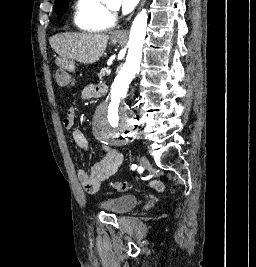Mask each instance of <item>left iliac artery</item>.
<instances>
[{
  "label": "left iliac artery",
  "instance_id": "obj_1",
  "mask_svg": "<svg viewBox=\"0 0 256 267\" xmlns=\"http://www.w3.org/2000/svg\"><path fill=\"white\" fill-rule=\"evenodd\" d=\"M136 167H137V166H136L135 164H133V165L131 166V169H132V170H135Z\"/></svg>",
  "mask_w": 256,
  "mask_h": 267
}]
</instances>
